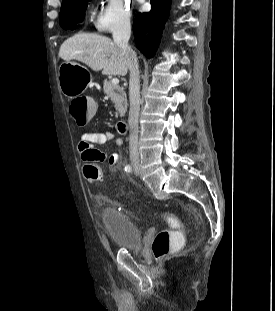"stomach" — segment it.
<instances>
[{
  "instance_id": "obj_1",
  "label": "stomach",
  "mask_w": 275,
  "mask_h": 311,
  "mask_svg": "<svg viewBox=\"0 0 275 311\" xmlns=\"http://www.w3.org/2000/svg\"><path fill=\"white\" fill-rule=\"evenodd\" d=\"M58 80L61 92L73 98L84 93L92 82V76L84 66L65 61L59 66Z\"/></svg>"
}]
</instances>
